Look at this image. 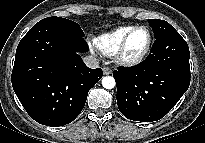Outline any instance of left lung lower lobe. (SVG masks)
<instances>
[{
    "mask_svg": "<svg viewBox=\"0 0 205 143\" xmlns=\"http://www.w3.org/2000/svg\"><path fill=\"white\" fill-rule=\"evenodd\" d=\"M189 58L186 41L173 31L156 39L141 64L114 71L120 112L141 122L164 117L189 87Z\"/></svg>",
    "mask_w": 205,
    "mask_h": 143,
    "instance_id": "0a47b994",
    "label": "left lung lower lobe"
}]
</instances>
